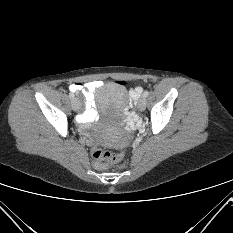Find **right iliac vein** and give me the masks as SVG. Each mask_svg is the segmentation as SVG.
<instances>
[{
    "instance_id": "63e3f726",
    "label": "right iliac vein",
    "mask_w": 233,
    "mask_h": 233,
    "mask_svg": "<svg viewBox=\"0 0 233 233\" xmlns=\"http://www.w3.org/2000/svg\"><path fill=\"white\" fill-rule=\"evenodd\" d=\"M71 105L74 111H78L80 109V101L77 98L72 99Z\"/></svg>"
}]
</instances>
